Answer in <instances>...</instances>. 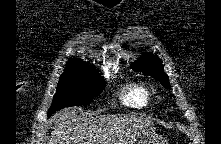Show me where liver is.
<instances>
[{
    "label": "liver",
    "mask_w": 221,
    "mask_h": 144,
    "mask_svg": "<svg viewBox=\"0 0 221 144\" xmlns=\"http://www.w3.org/2000/svg\"><path fill=\"white\" fill-rule=\"evenodd\" d=\"M50 144H134L143 135L154 132L147 118L130 114L98 117L78 115L76 108L54 114Z\"/></svg>",
    "instance_id": "liver-1"
}]
</instances>
